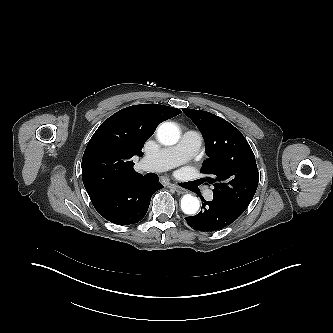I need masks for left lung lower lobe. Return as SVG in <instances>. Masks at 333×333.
I'll return each instance as SVG.
<instances>
[{
    "instance_id": "obj_1",
    "label": "left lung lower lobe",
    "mask_w": 333,
    "mask_h": 333,
    "mask_svg": "<svg viewBox=\"0 0 333 333\" xmlns=\"http://www.w3.org/2000/svg\"><path fill=\"white\" fill-rule=\"evenodd\" d=\"M203 211L185 218L187 224L202 232L218 231L234 222L245 210L237 205L214 195L212 201L203 199Z\"/></svg>"
}]
</instances>
